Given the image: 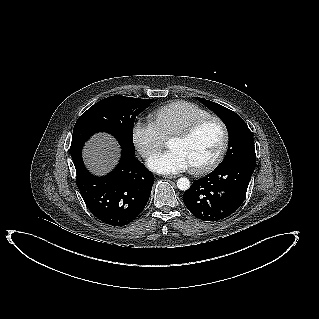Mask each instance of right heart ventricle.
Segmentation results:
<instances>
[{"label":"right heart ventricle","instance_id":"1","mask_svg":"<svg viewBox=\"0 0 319 319\" xmlns=\"http://www.w3.org/2000/svg\"><path fill=\"white\" fill-rule=\"evenodd\" d=\"M210 115L194 103L177 100L155 109L150 114V120L162 137L167 139L194 120Z\"/></svg>","mask_w":319,"mask_h":319}]
</instances>
